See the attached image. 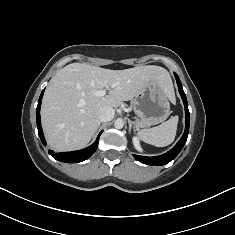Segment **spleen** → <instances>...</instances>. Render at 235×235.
<instances>
[{
    "label": "spleen",
    "mask_w": 235,
    "mask_h": 235,
    "mask_svg": "<svg viewBox=\"0 0 235 235\" xmlns=\"http://www.w3.org/2000/svg\"><path fill=\"white\" fill-rule=\"evenodd\" d=\"M178 116H173L157 127L138 132L141 140L156 147L170 145L176 136Z\"/></svg>",
    "instance_id": "spleen-1"
}]
</instances>
